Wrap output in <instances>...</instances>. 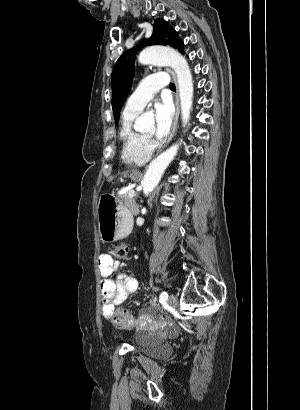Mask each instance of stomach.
I'll return each instance as SVG.
<instances>
[{"instance_id": "1", "label": "stomach", "mask_w": 300, "mask_h": 410, "mask_svg": "<svg viewBox=\"0 0 300 410\" xmlns=\"http://www.w3.org/2000/svg\"><path fill=\"white\" fill-rule=\"evenodd\" d=\"M131 178L138 180L135 174H131ZM97 214L99 234L103 242H114L130 233L132 216L114 195L100 197Z\"/></svg>"}]
</instances>
